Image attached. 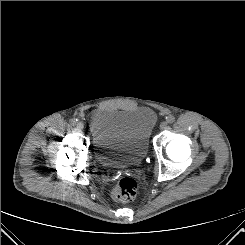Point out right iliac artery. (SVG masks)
Listing matches in <instances>:
<instances>
[{
  "mask_svg": "<svg viewBox=\"0 0 245 245\" xmlns=\"http://www.w3.org/2000/svg\"><path fill=\"white\" fill-rule=\"evenodd\" d=\"M76 123H77V119L74 118V119H71V120H70V124H71V125L74 126Z\"/></svg>",
  "mask_w": 245,
  "mask_h": 245,
  "instance_id": "82829eb1",
  "label": "right iliac artery"
}]
</instances>
